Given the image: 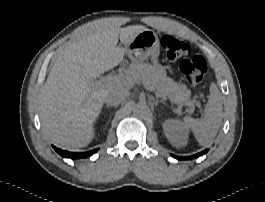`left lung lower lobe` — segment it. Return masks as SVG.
I'll list each match as a JSON object with an SVG mask.
<instances>
[{
    "label": "left lung lower lobe",
    "instance_id": "1",
    "mask_svg": "<svg viewBox=\"0 0 265 202\" xmlns=\"http://www.w3.org/2000/svg\"><path fill=\"white\" fill-rule=\"evenodd\" d=\"M208 152V150H204L198 154L192 155V156H187V157H178L175 155H172L174 158L180 160V159H194V158H198L199 156H202L203 154H206Z\"/></svg>",
    "mask_w": 265,
    "mask_h": 202
}]
</instances>
